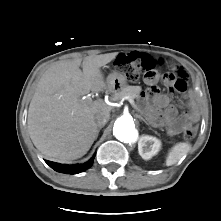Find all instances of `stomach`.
<instances>
[{"label": "stomach", "instance_id": "1", "mask_svg": "<svg viewBox=\"0 0 221 221\" xmlns=\"http://www.w3.org/2000/svg\"><path fill=\"white\" fill-rule=\"evenodd\" d=\"M127 80L124 75L119 72H113L107 78V86L111 92H118L126 87Z\"/></svg>", "mask_w": 221, "mask_h": 221}]
</instances>
